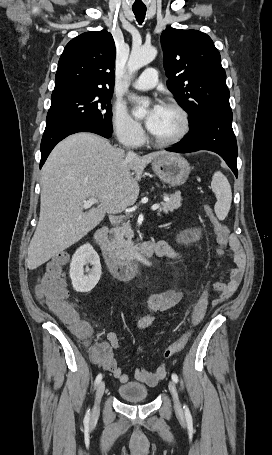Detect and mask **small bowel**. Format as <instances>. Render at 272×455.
Here are the masks:
<instances>
[{"label":"small bowel","mask_w":272,"mask_h":455,"mask_svg":"<svg viewBox=\"0 0 272 455\" xmlns=\"http://www.w3.org/2000/svg\"><path fill=\"white\" fill-rule=\"evenodd\" d=\"M200 237L199 230H188L180 234L178 242L180 244H188ZM229 248L232 252L235 268L230 272V277L227 282L213 283V289L218 293L219 299L213 302L217 305L229 299L238 289L246 266V256L241 247L238 238L231 234L228 238ZM155 253L159 257H167L178 260L181 254L170 246L167 242L159 241L154 243ZM183 297V292L180 290H165L152 295L147 302V312L140 322V328H145L150 325L153 320V314L158 311H166L174 308L179 304ZM108 343H102L93 352L94 360L99 363L105 370L110 371L113 376L121 383L128 381V375L119 367L114 355V349L119 346V339L116 333L110 332L107 335ZM140 349L138 348L137 351ZM166 376V368L159 365L154 372L147 371L144 368H137L134 372V377L137 381L149 386L156 385Z\"/></svg>","instance_id":"1"}]
</instances>
